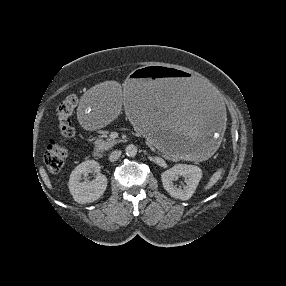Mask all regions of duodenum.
<instances>
[{"mask_svg":"<svg viewBox=\"0 0 286 286\" xmlns=\"http://www.w3.org/2000/svg\"><path fill=\"white\" fill-rule=\"evenodd\" d=\"M93 157L95 158V159H101L102 157H103V153L101 152V150L100 149H94V151H93Z\"/></svg>","mask_w":286,"mask_h":286,"instance_id":"1","label":"duodenum"}]
</instances>
